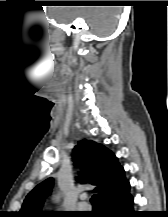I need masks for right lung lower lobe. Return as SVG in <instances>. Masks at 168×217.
Segmentation results:
<instances>
[{
	"mask_svg": "<svg viewBox=\"0 0 168 217\" xmlns=\"http://www.w3.org/2000/svg\"><path fill=\"white\" fill-rule=\"evenodd\" d=\"M134 198L130 194V186L123 192L100 204L98 217H140L133 210Z\"/></svg>",
	"mask_w": 168,
	"mask_h": 217,
	"instance_id": "98d812e1",
	"label": "right lung lower lobe"
}]
</instances>
